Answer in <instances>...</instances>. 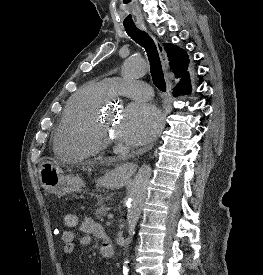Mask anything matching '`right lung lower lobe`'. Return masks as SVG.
Segmentation results:
<instances>
[{"label":"right lung lower lobe","mask_w":263,"mask_h":275,"mask_svg":"<svg viewBox=\"0 0 263 275\" xmlns=\"http://www.w3.org/2000/svg\"><path fill=\"white\" fill-rule=\"evenodd\" d=\"M190 85V78L189 74L185 78L184 82L182 84H177V86L173 89V96H178L179 94H188L191 92V89H187L188 86Z\"/></svg>","instance_id":"1"}]
</instances>
